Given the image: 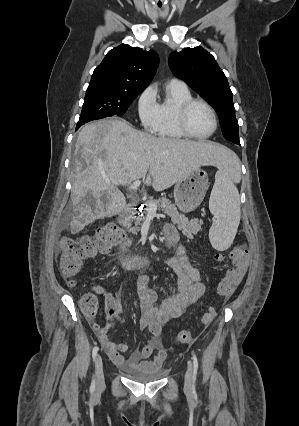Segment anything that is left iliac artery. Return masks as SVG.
<instances>
[{
    "label": "left iliac artery",
    "instance_id": "left-iliac-artery-1",
    "mask_svg": "<svg viewBox=\"0 0 299 426\" xmlns=\"http://www.w3.org/2000/svg\"><path fill=\"white\" fill-rule=\"evenodd\" d=\"M197 370H198V360H197L196 355L194 354V355H193V377H192V379H193V383H194V382H195V380H196Z\"/></svg>",
    "mask_w": 299,
    "mask_h": 426
}]
</instances>
